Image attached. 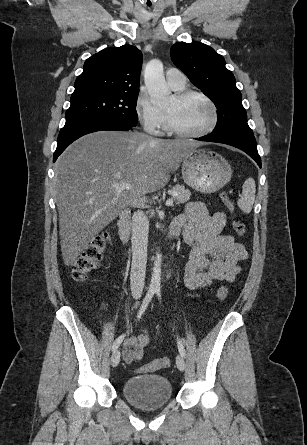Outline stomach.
I'll list each match as a JSON object with an SVG mask.
<instances>
[{
    "instance_id": "1",
    "label": "stomach",
    "mask_w": 307,
    "mask_h": 445,
    "mask_svg": "<svg viewBox=\"0 0 307 445\" xmlns=\"http://www.w3.org/2000/svg\"><path fill=\"white\" fill-rule=\"evenodd\" d=\"M182 174L186 184L199 192H216L229 182L232 168L221 154L209 148H193L182 158Z\"/></svg>"
}]
</instances>
